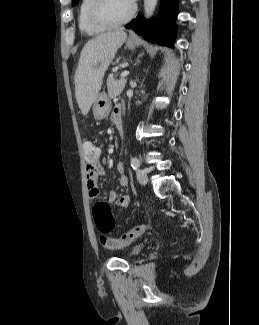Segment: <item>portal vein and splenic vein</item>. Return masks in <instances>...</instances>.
I'll return each instance as SVG.
<instances>
[{"label": "portal vein and splenic vein", "instance_id": "obj_1", "mask_svg": "<svg viewBox=\"0 0 259 325\" xmlns=\"http://www.w3.org/2000/svg\"><path fill=\"white\" fill-rule=\"evenodd\" d=\"M128 75H129V71L126 70V71L122 72L121 77H126Z\"/></svg>", "mask_w": 259, "mask_h": 325}]
</instances>
